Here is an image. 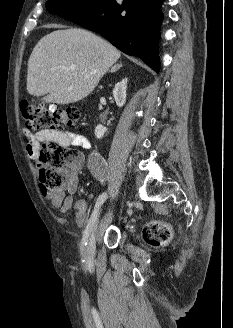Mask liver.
<instances>
[{"label": "liver", "instance_id": "6515ba94", "mask_svg": "<svg viewBox=\"0 0 233 328\" xmlns=\"http://www.w3.org/2000/svg\"><path fill=\"white\" fill-rule=\"evenodd\" d=\"M120 56L113 45L89 31H53L40 39L30 55L27 91L43 96L46 103L77 102L95 89Z\"/></svg>", "mask_w": 233, "mask_h": 328}]
</instances>
